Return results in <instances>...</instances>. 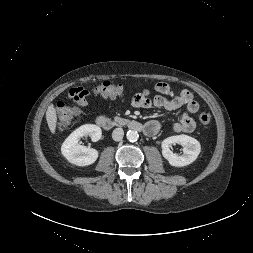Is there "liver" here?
<instances>
[{
    "label": "liver",
    "mask_w": 253,
    "mask_h": 253,
    "mask_svg": "<svg viewBox=\"0 0 253 253\" xmlns=\"http://www.w3.org/2000/svg\"><path fill=\"white\" fill-rule=\"evenodd\" d=\"M46 120L51 133L54 134L57 124V113L53 104H50L47 108Z\"/></svg>",
    "instance_id": "liver-1"
}]
</instances>
